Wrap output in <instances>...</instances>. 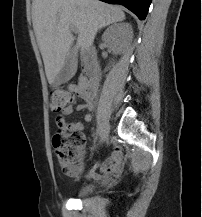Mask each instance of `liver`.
<instances>
[{
    "label": "liver",
    "instance_id": "1",
    "mask_svg": "<svg viewBox=\"0 0 202 217\" xmlns=\"http://www.w3.org/2000/svg\"><path fill=\"white\" fill-rule=\"evenodd\" d=\"M120 7L99 0H34L33 28L42 54L49 84H52L69 56L74 37L79 36L76 49L89 48L97 31L124 20Z\"/></svg>",
    "mask_w": 202,
    "mask_h": 217
}]
</instances>
